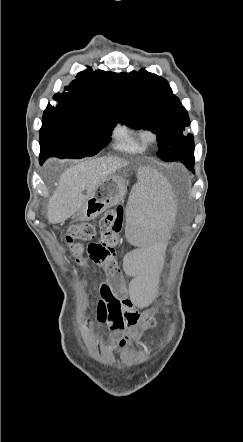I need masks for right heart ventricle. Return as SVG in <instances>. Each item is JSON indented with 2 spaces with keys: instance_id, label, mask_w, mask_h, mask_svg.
Returning a JSON list of instances; mask_svg holds the SVG:
<instances>
[{
  "instance_id": "right-heart-ventricle-1",
  "label": "right heart ventricle",
  "mask_w": 243,
  "mask_h": 442,
  "mask_svg": "<svg viewBox=\"0 0 243 442\" xmlns=\"http://www.w3.org/2000/svg\"><path fill=\"white\" fill-rule=\"evenodd\" d=\"M115 148L126 153H142L147 148L144 129L134 128L126 123L119 124L114 130Z\"/></svg>"
}]
</instances>
